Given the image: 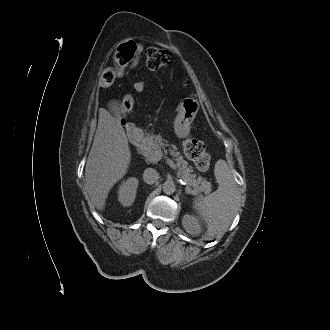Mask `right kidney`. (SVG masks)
I'll use <instances>...</instances> for the list:
<instances>
[{
  "mask_svg": "<svg viewBox=\"0 0 330 330\" xmlns=\"http://www.w3.org/2000/svg\"><path fill=\"white\" fill-rule=\"evenodd\" d=\"M139 181L135 177L124 180L119 185L118 200L123 206H130L135 200Z\"/></svg>",
  "mask_w": 330,
  "mask_h": 330,
  "instance_id": "1",
  "label": "right kidney"
}]
</instances>
